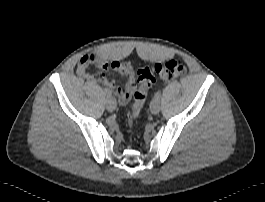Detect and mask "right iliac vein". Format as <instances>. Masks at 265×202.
<instances>
[{
	"label": "right iliac vein",
	"mask_w": 265,
	"mask_h": 202,
	"mask_svg": "<svg viewBox=\"0 0 265 202\" xmlns=\"http://www.w3.org/2000/svg\"><path fill=\"white\" fill-rule=\"evenodd\" d=\"M117 107V102L114 98H108L106 101V108L108 111L112 112L116 109Z\"/></svg>",
	"instance_id": "obj_1"
}]
</instances>
